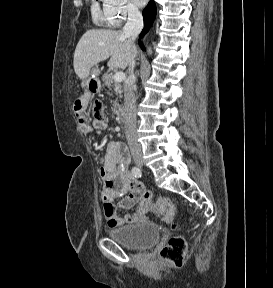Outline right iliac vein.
<instances>
[{
  "mask_svg": "<svg viewBox=\"0 0 273 288\" xmlns=\"http://www.w3.org/2000/svg\"><path fill=\"white\" fill-rule=\"evenodd\" d=\"M135 162L138 166H143L144 160L140 157L135 158Z\"/></svg>",
  "mask_w": 273,
  "mask_h": 288,
  "instance_id": "right-iliac-vein-1",
  "label": "right iliac vein"
}]
</instances>
